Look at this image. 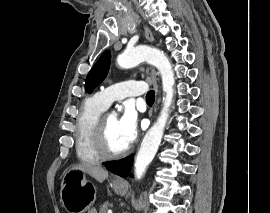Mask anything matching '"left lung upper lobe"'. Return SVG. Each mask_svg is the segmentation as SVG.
<instances>
[{
    "instance_id": "obj_1",
    "label": "left lung upper lobe",
    "mask_w": 270,
    "mask_h": 213,
    "mask_svg": "<svg viewBox=\"0 0 270 213\" xmlns=\"http://www.w3.org/2000/svg\"><path fill=\"white\" fill-rule=\"evenodd\" d=\"M111 60V52H104L101 57L98 59L96 64L93 66L89 72L86 82L85 89L87 92H92L95 87H97L106 77Z\"/></svg>"
}]
</instances>
